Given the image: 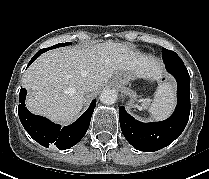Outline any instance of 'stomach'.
Returning a JSON list of instances; mask_svg holds the SVG:
<instances>
[{
    "label": "stomach",
    "instance_id": "1",
    "mask_svg": "<svg viewBox=\"0 0 209 179\" xmlns=\"http://www.w3.org/2000/svg\"><path fill=\"white\" fill-rule=\"evenodd\" d=\"M135 76L128 71L122 72L118 78H117V82L120 85V87L122 88V90L125 89V86L129 84L130 81L134 80Z\"/></svg>",
    "mask_w": 209,
    "mask_h": 179
}]
</instances>
